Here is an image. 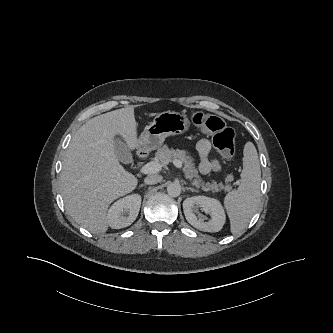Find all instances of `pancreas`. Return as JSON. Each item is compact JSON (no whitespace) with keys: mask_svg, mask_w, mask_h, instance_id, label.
Returning <instances> with one entry per match:
<instances>
[{"mask_svg":"<svg viewBox=\"0 0 333 333\" xmlns=\"http://www.w3.org/2000/svg\"><path fill=\"white\" fill-rule=\"evenodd\" d=\"M155 158L164 165L168 164L173 159L180 160L184 164L183 171L185 177L192 182V185L201 187L204 191L217 192L220 190L230 191L232 189L231 185L228 184L229 181H231L230 178L225 180L227 183L226 185L217 183L216 181H212V183H205L203 180H201V177L198 174V170L195 168L194 159L189 156L188 152L185 150L170 149L168 146H163L157 150Z\"/></svg>","mask_w":333,"mask_h":333,"instance_id":"cf45deb5","label":"pancreas"}]
</instances>
